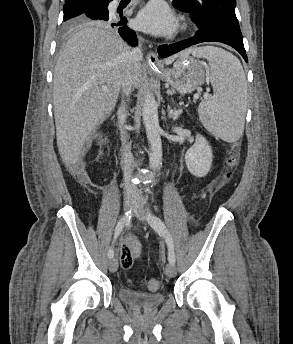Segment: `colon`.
<instances>
[{
  "instance_id": "1",
  "label": "colon",
  "mask_w": 293,
  "mask_h": 344,
  "mask_svg": "<svg viewBox=\"0 0 293 344\" xmlns=\"http://www.w3.org/2000/svg\"><path fill=\"white\" fill-rule=\"evenodd\" d=\"M237 164V153L236 151L232 150L228 160H227V165H228V171L226 172L225 178L230 179L232 176V170L235 168ZM160 284L159 281L156 279H151L147 282V287L154 291L159 288Z\"/></svg>"
}]
</instances>
